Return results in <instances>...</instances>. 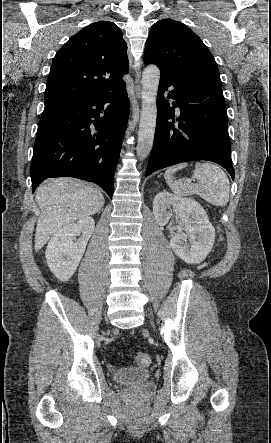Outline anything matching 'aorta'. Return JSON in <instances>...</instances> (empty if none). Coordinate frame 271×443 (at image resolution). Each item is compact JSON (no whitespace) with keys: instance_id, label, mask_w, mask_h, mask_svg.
Here are the masks:
<instances>
[{"instance_id":"1","label":"aorta","mask_w":271,"mask_h":443,"mask_svg":"<svg viewBox=\"0 0 271 443\" xmlns=\"http://www.w3.org/2000/svg\"><path fill=\"white\" fill-rule=\"evenodd\" d=\"M159 80V68H157V66H147L141 78L142 108L136 148L139 160H145L153 148L157 118L156 98Z\"/></svg>"}]
</instances>
